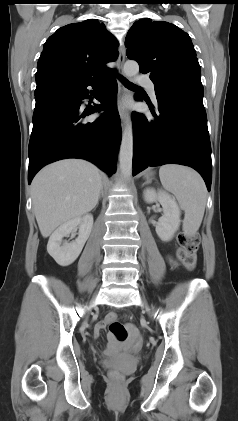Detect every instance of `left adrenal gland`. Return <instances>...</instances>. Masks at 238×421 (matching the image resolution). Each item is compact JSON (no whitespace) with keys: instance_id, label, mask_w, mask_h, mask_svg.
I'll return each mask as SVG.
<instances>
[{"instance_id":"obj_1","label":"left adrenal gland","mask_w":238,"mask_h":421,"mask_svg":"<svg viewBox=\"0 0 238 421\" xmlns=\"http://www.w3.org/2000/svg\"><path fill=\"white\" fill-rule=\"evenodd\" d=\"M148 183V181H146V182H144L143 184H142V186H144L145 184H147Z\"/></svg>"}]
</instances>
